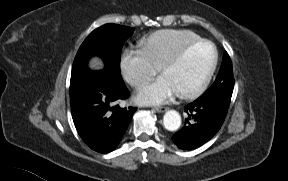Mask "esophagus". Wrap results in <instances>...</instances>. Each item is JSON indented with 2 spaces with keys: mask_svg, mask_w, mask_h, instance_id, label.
Masks as SVG:
<instances>
[{
  "mask_svg": "<svg viewBox=\"0 0 288 181\" xmlns=\"http://www.w3.org/2000/svg\"><path fill=\"white\" fill-rule=\"evenodd\" d=\"M154 110L159 113H163L167 110L166 107H155Z\"/></svg>",
  "mask_w": 288,
  "mask_h": 181,
  "instance_id": "esophagus-1",
  "label": "esophagus"
}]
</instances>
